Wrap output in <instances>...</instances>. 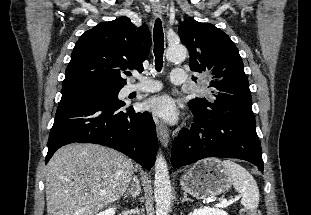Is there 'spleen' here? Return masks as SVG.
<instances>
[{
    "label": "spleen",
    "instance_id": "3e777b00",
    "mask_svg": "<svg viewBox=\"0 0 311 215\" xmlns=\"http://www.w3.org/2000/svg\"><path fill=\"white\" fill-rule=\"evenodd\" d=\"M222 165L231 177L235 190L242 194L241 204L248 210H256L260 194L253 176L232 160H224Z\"/></svg>",
    "mask_w": 311,
    "mask_h": 215
}]
</instances>
